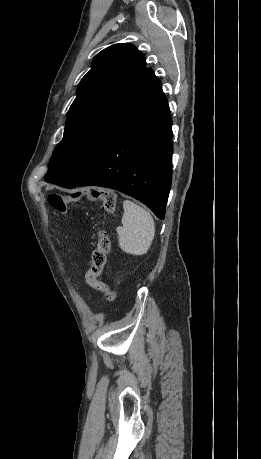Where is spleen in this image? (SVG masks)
<instances>
[{
    "label": "spleen",
    "mask_w": 261,
    "mask_h": 459,
    "mask_svg": "<svg viewBox=\"0 0 261 459\" xmlns=\"http://www.w3.org/2000/svg\"><path fill=\"white\" fill-rule=\"evenodd\" d=\"M123 209L122 226L116 229L121 250L136 256L146 254L155 236L153 217L130 200L123 201Z\"/></svg>",
    "instance_id": "spleen-1"
}]
</instances>
